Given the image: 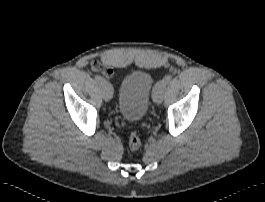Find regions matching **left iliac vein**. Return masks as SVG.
I'll return each instance as SVG.
<instances>
[{"label":"left iliac vein","instance_id":"obj_1","mask_svg":"<svg viewBox=\"0 0 265 202\" xmlns=\"http://www.w3.org/2000/svg\"><path fill=\"white\" fill-rule=\"evenodd\" d=\"M165 88L166 83L162 80L159 82V86L154 90L152 97L156 104H160L162 102Z\"/></svg>","mask_w":265,"mask_h":202}]
</instances>
